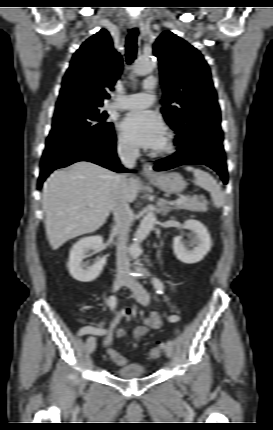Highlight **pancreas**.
<instances>
[{
    "label": "pancreas",
    "instance_id": "cf45deb5",
    "mask_svg": "<svg viewBox=\"0 0 273 430\" xmlns=\"http://www.w3.org/2000/svg\"><path fill=\"white\" fill-rule=\"evenodd\" d=\"M177 208L193 212H206L208 210L206 202L200 201L198 198L186 199L178 204Z\"/></svg>",
    "mask_w": 273,
    "mask_h": 430
}]
</instances>
